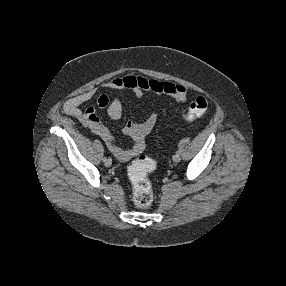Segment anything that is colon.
<instances>
[{
    "mask_svg": "<svg viewBox=\"0 0 286 286\" xmlns=\"http://www.w3.org/2000/svg\"><path fill=\"white\" fill-rule=\"evenodd\" d=\"M206 97L199 96L188 106L182 107L181 112L187 121L201 117L207 110ZM155 168V162L147 157L136 160L129 168V177L133 185V201L137 207L145 209L153 202L152 185L148 174Z\"/></svg>",
    "mask_w": 286,
    "mask_h": 286,
    "instance_id": "5ec220e1",
    "label": "colon"
}]
</instances>
